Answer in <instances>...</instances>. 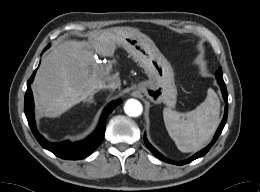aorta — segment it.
I'll use <instances>...</instances> for the list:
<instances>
[{
    "instance_id": "aorta-1",
    "label": "aorta",
    "mask_w": 260,
    "mask_h": 192,
    "mask_svg": "<svg viewBox=\"0 0 260 192\" xmlns=\"http://www.w3.org/2000/svg\"><path fill=\"white\" fill-rule=\"evenodd\" d=\"M142 110V104L135 99L128 100L124 105V111L130 117H138L141 115Z\"/></svg>"
}]
</instances>
